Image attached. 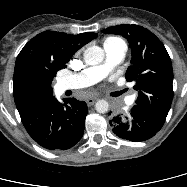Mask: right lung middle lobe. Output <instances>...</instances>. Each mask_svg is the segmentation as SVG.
Segmentation results:
<instances>
[{
	"label": "right lung middle lobe",
	"mask_w": 187,
	"mask_h": 187,
	"mask_svg": "<svg viewBox=\"0 0 187 187\" xmlns=\"http://www.w3.org/2000/svg\"><path fill=\"white\" fill-rule=\"evenodd\" d=\"M60 68H40L30 69L24 76L26 86L33 91L52 90L51 83Z\"/></svg>",
	"instance_id": "dd1d6c3e"
}]
</instances>
